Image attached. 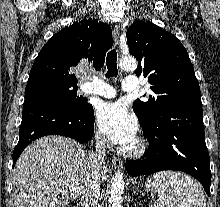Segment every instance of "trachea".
I'll use <instances>...</instances> for the list:
<instances>
[{"label":"trachea","mask_w":220,"mask_h":207,"mask_svg":"<svg viewBox=\"0 0 220 207\" xmlns=\"http://www.w3.org/2000/svg\"><path fill=\"white\" fill-rule=\"evenodd\" d=\"M106 65H107V73L106 77H116L118 75L117 69V52L115 49L109 51L106 58Z\"/></svg>","instance_id":"obj_1"}]
</instances>
